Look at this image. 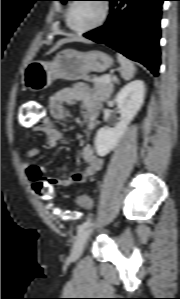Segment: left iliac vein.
Listing matches in <instances>:
<instances>
[{
	"label": "left iliac vein",
	"instance_id": "left-iliac-vein-1",
	"mask_svg": "<svg viewBox=\"0 0 180 299\" xmlns=\"http://www.w3.org/2000/svg\"><path fill=\"white\" fill-rule=\"evenodd\" d=\"M93 227V225H90L78 234L71 251V259L73 261L79 259V257L81 256L85 243L93 231Z\"/></svg>",
	"mask_w": 180,
	"mask_h": 299
}]
</instances>
